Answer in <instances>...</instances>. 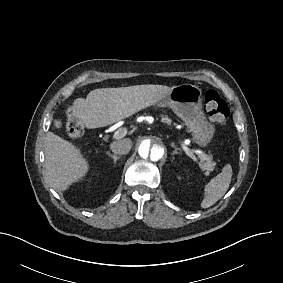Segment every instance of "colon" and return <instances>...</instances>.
I'll return each mask as SVG.
<instances>
[{
	"mask_svg": "<svg viewBox=\"0 0 283 283\" xmlns=\"http://www.w3.org/2000/svg\"><path fill=\"white\" fill-rule=\"evenodd\" d=\"M205 104L209 119L219 127L225 126L229 118V110L220 95L214 90L207 91L205 94ZM65 122V129L70 137L77 138L82 136L83 126L78 122L70 109L67 112Z\"/></svg>",
	"mask_w": 283,
	"mask_h": 283,
	"instance_id": "obj_1",
	"label": "colon"
}]
</instances>
